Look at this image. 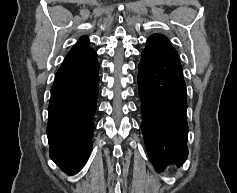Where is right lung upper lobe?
<instances>
[{
  "mask_svg": "<svg viewBox=\"0 0 237 193\" xmlns=\"http://www.w3.org/2000/svg\"><path fill=\"white\" fill-rule=\"evenodd\" d=\"M71 50L72 51L92 50L89 47V39L86 36L81 37L80 40L76 43V45Z\"/></svg>",
  "mask_w": 237,
  "mask_h": 193,
  "instance_id": "cb5924a9",
  "label": "right lung upper lobe"
}]
</instances>
